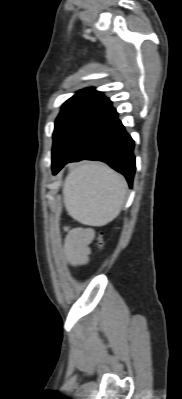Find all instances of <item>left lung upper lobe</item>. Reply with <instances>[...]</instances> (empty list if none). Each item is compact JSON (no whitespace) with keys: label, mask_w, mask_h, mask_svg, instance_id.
Segmentation results:
<instances>
[{"label":"left lung upper lobe","mask_w":182,"mask_h":399,"mask_svg":"<svg viewBox=\"0 0 182 399\" xmlns=\"http://www.w3.org/2000/svg\"><path fill=\"white\" fill-rule=\"evenodd\" d=\"M109 101L101 92L88 88L77 92L63 104L55 121L52 160L65 149L82 121Z\"/></svg>","instance_id":"left-lung-upper-lobe-1"}]
</instances>
